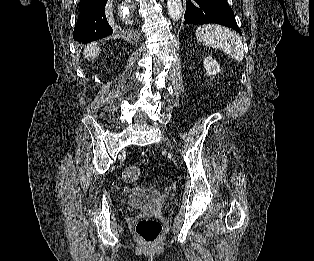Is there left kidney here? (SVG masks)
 Listing matches in <instances>:
<instances>
[{
	"mask_svg": "<svg viewBox=\"0 0 314 261\" xmlns=\"http://www.w3.org/2000/svg\"><path fill=\"white\" fill-rule=\"evenodd\" d=\"M203 64L206 69V74L208 76H214L220 71L218 62L214 60L211 56H207Z\"/></svg>",
	"mask_w": 314,
	"mask_h": 261,
	"instance_id": "1",
	"label": "left kidney"
}]
</instances>
